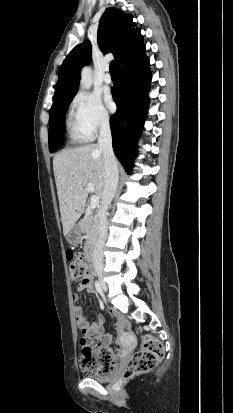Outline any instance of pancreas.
<instances>
[{
	"label": "pancreas",
	"instance_id": "cf45deb5",
	"mask_svg": "<svg viewBox=\"0 0 233 413\" xmlns=\"http://www.w3.org/2000/svg\"><path fill=\"white\" fill-rule=\"evenodd\" d=\"M80 228L83 233L86 234L87 241L93 243L97 240L98 236V219L97 215L88 213L80 221Z\"/></svg>",
	"mask_w": 233,
	"mask_h": 413
}]
</instances>
